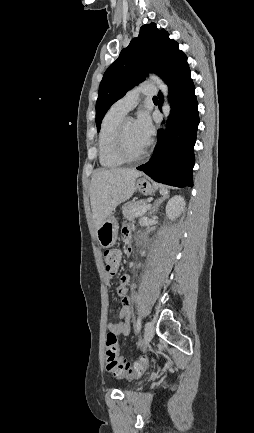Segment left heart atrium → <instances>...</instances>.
I'll return each instance as SVG.
<instances>
[{
	"label": "left heart atrium",
	"instance_id": "1",
	"mask_svg": "<svg viewBox=\"0 0 254 433\" xmlns=\"http://www.w3.org/2000/svg\"><path fill=\"white\" fill-rule=\"evenodd\" d=\"M134 122L136 130L140 134V136L146 141H149L153 132V125L149 114L144 111L140 112Z\"/></svg>",
	"mask_w": 254,
	"mask_h": 433
}]
</instances>
